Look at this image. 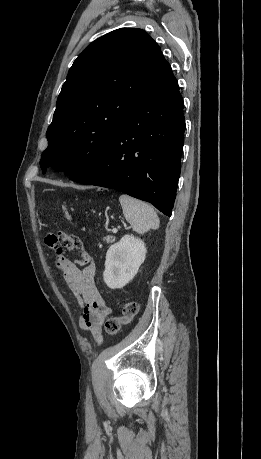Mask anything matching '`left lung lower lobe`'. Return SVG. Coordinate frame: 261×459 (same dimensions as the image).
Instances as JSON below:
<instances>
[{
  "label": "left lung lower lobe",
  "mask_w": 261,
  "mask_h": 459,
  "mask_svg": "<svg viewBox=\"0 0 261 459\" xmlns=\"http://www.w3.org/2000/svg\"><path fill=\"white\" fill-rule=\"evenodd\" d=\"M184 130L183 99L171 71L134 111L101 158L70 179L124 192L171 216Z\"/></svg>",
  "instance_id": "obj_1"
}]
</instances>
